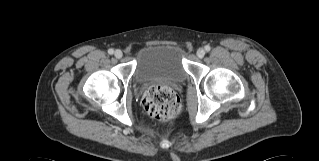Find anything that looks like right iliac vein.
I'll use <instances>...</instances> for the list:
<instances>
[{
	"label": "right iliac vein",
	"mask_w": 319,
	"mask_h": 161,
	"mask_svg": "<svg viewBox=\"0 0 319 161\" xmlns=\"http://www.w3.org/2000/svg\"><path fill=\"white\" fill-rule=\"evenodd\" d=\"M114 56H115L117 59H120V58H122L123 53H122L121 50H116V51L114 52Z\"/></svg>",
	"instance_id": "1"
}]
</instances>
